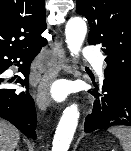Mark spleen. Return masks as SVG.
<instances>
[{"mask_svg": "<svg viewBox=\"0 0 131 151\" xmlns=\"http://www.w3.org/2000/svg\"><path fill=\"white\" fill-rule=\"evenodd\" d=\"M108 132L120 140L124 151H131V128L112 127L108 129Z\"/></svg>", "mask_w": 131, "mask_h": 151, "instance_id": "3e777b00", "label": "spleen"}]
</instances>
